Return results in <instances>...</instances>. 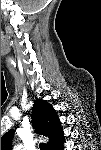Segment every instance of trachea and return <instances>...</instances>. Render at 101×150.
<instances>
[{"label": "trachea", "mask_w": 101, "mask_h": 150, "mask_svg": "<svg viewBox=\"0 0 101 150\" xmlns=\"http://www.w3.org/2000/svg\"><path fill=\"white\" fill-rule=\"evenodd\" d=\"M39 147H40L41 150H47L46 144H44V143H41L39 145Z\"/></svg>", "instance_id": "1"}]
</instances>
